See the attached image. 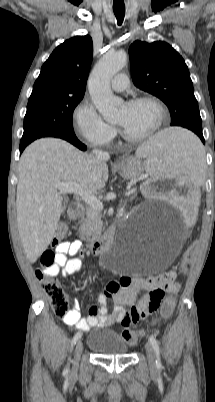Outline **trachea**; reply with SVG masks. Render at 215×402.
<instances>
[{
    "label": "trachea",
    "instance_id": "3493384b",
    "mask_svg": "<svg viewBox=\"0 0 215 402\" xmlns=\"http://www.w3.org/2000/svg\"><path fill=\"white\" fill-rule=\"evenodd\" d=\"M113 11L117 18L118 25H121L124 20L125 9H113Z\"/></svg>",
    "mask_w": 215,
    "mask_h": 402
}]
</instances>
